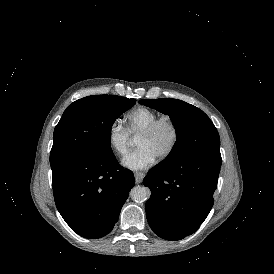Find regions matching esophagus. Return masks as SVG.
<instances>
[{
  "label": "esophagus",
  "instance_id": "34e87169",
  "mask_svg": "<svg viewBox=\"0 0 274 274\" xmlns=\"http://www.w3.org/2000/svg\"><path fill=\"white\" fill-rule=\"evenodd\" d=\"M145 174L142 172H136L135 173V181L136 183H141L143 178H144Z\"/></svg>",
  "mask_w": 274,
  "mask_h": 274
}]
</instances>
